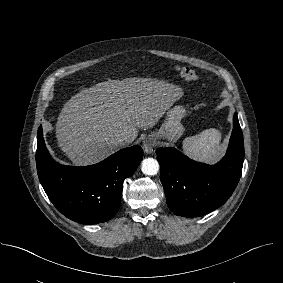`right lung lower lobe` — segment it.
Listing matches in <instances>:
<instances>
[{
	"label": "right lung lower lobe",
	"mask_w": 283,
	"mask_h": 283,
	"mask_svg": "<svg viewBox=\"0 0 283 283\" xmlns=\"http://www.w3.org/2000/svg\"><path fill=\"white\" fill-rule=\"evenodd\" d=\"M142 159L143 150L135 145L95 165L64 166L52 159L42 127L38 129L36 165L40 183L63 215L83 224L102 223L117 213L123 181L133 175Z\"/></svg>",
	"instance_id": "1"
}]
</instances>
